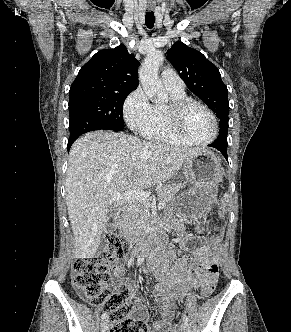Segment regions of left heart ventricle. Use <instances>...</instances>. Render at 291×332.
<instances>
[{"label": "left heart ventricle", "mask_w": 291, "mask_h": 332, "mask_svg": "<svg viewBox=\"0 0 291 332\" xmlns=\"http://www.w3.org/2000/svg\"><path fill=\"white\" fill-rule=\"evenodd\" d=\"M185 129L196 140L204 141L213 135V122L201 107H191L185 115Z\"/></svg>", "instance_id": "b2bd125f"}]
</instances>
